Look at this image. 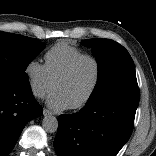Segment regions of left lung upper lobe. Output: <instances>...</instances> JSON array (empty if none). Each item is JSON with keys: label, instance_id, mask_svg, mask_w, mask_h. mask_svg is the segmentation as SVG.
<instances>
[{"label": "left lung upper lobe", "instance_id": "1", "mask_svg": "<svg viewBox=\"0 0 156 156\" xmlns=\"http://www.w3.org/2000/svg\"><path fill=\"white\" fill-rule=\"evenodd\" d=\"M98 62V81L87 103L108 96L140 98L134 62L128 51L110 39H88Z\"/></svg>", "mask_w": 156, "mask_h": 156}]
</instances>
